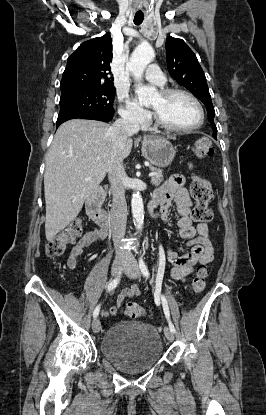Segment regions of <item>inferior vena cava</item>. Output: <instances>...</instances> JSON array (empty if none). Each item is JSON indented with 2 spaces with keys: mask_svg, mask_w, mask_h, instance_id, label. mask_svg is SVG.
Masks as SVG:
<instances>
[{
  "mask_svg": "<svg viewBox=\"0 0 266 415\" xmlns=\"http://www.w3.org/2000/svg\"><path fill=\"white\" fill-rule=\"evenodd\" d=\"M110 130L115 150V156L108 170V178L113 196L110 211L111 231L116 248V257L130 258L132 257V253L120 248L121 240L125 235L127 221L124 185L126 173L123 167L122 150L128 137L138 132L139 124L133 116L125 115L117 119Z\"/></svg>",
  "mask_w": 266,
  "mask_h": 415,
  "instance_id": "obj_1",
  "label": "inferior vena cava"
}]
</instances>
